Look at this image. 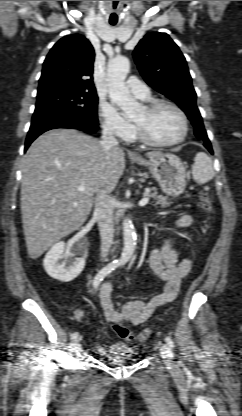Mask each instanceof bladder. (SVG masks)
Masks as SVG:
<instances>
[{
    "label": "bladder",
    "mask_w": 242,
    "mask_h": 416,
    "mask_svg": "<svg viewBox=\"0 0 242 416\" xmlns=\"http://www.w3.org/2000/svg\"><path fill=\"white\" fill-rule=\"evenodd\" d=\"M132 353L126 345H122L116 352L110 353L106 362L112 365H123L130 363Z\"/></svg>",
    "instance_id": "obj_1"
}]
</instances>
